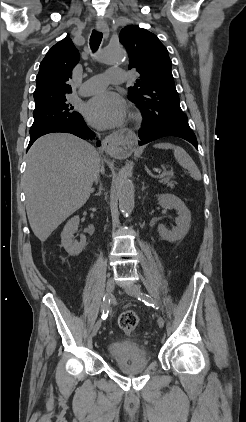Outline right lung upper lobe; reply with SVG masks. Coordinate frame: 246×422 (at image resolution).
Here are the masks:
<instances>
[{"label":"right lung upper lobe","mask_w":246,"mask_h":422,"mask_svg":"<svg viewBox=\"0 0 246 422\" xmlns=\"http://www.w3.org/2000/svg\"><path fill=\"white\" fill-rule=\"evenodd\" d=\"M79 61V53L68 37L55 44L39 66L34 91L35 109L72 93L69 80L72 70Z\"/></svg>","instance_id":"1"}]
</instances>
